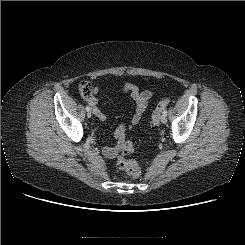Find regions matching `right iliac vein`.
I'll use <instances>...</instances> for the list:
<instances>
[{
  "label": "right iliac vein",
  "mask_w": 245,
  "mask_h": 245,
  "mask_svg": "<svg viewBox=\"0 0 245 245\" xmlns=\"http://www.w3.org/2000/svg\"><path fill=\"white\" fill-rule=\"evenodd\" d=\"M87 116L90 118L92 115H91V111H88L87 112Z\"/></svg>",
  "instance_id": "obj_1"
}]
</instances>
